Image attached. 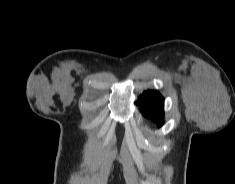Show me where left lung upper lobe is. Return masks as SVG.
I'll return each instance as SVG.
<instances>
[{"mask_svg": "<svg viewBox=\"0 0 235 184\" xmlns=\"http://www.w3.org/2000/svg\"><path fill=\"white\" fill-rule=\"evenodd\" d=\"M141 111L148 118L157 122L159 126L164 123V98L158 91H146L138 99L137 102Z\"/></svg>", "mask_w": 235, "mask_h": 184, "instance_id": "left-lung-upper-lobe-1", "label": "left lung upper lobe"}]
</instances>
